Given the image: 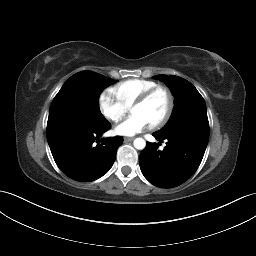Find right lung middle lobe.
I'll return each instance as SVG.
<instances>
[{"instance_id": "1", "label": "right lung middle lobe", "mask_w": 256, "mask_h": 256, "mask_svg": "<svg viewBox=\"0 0 256 256\" xmlns=\"http://www.w3.org/2000/svg\"><path fill=\"white\" fill-rule=\"evenodd\" d=\"M115 82L91 71L74 74L53 99L48 124L76 123L87 127L108 124L100 112L98 99L103 88Z\"/></svg>"}]
</instances>
